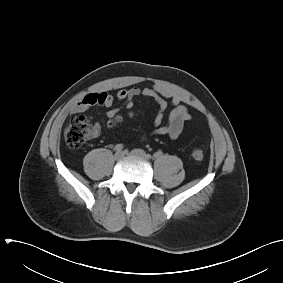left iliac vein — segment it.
I'll return each mask as SVG.
<instances>
[{
    "mask_svg": "<svg viewBox=\"0 0 283 283\" xmlns=\"http://www.w3.org/2000/svg\"><path fill=\"white\" fill-rule=\"evenodd\" d=\"M130 155L144 159V160H149L150 155L146 154L143 150L141 149H134L130 152Z\"/></svg>",
    "mask_w": 283,
    "mask_h": 283,
    "instance_id": "left-iliac-vein-1",
    "label": "left iliac vein"
}]
</instances>
